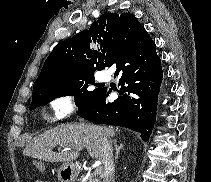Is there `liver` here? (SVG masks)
I'll return each mask as SVG.
<instances>
[{
	"label": "liver",
	"mask_w": 211,
	"mask_h": 182,
	"mask_svg": "<svg viewBox=\"0 0 211 182\" xmlns=\"http://www.w3.org/2000/svg\"><path fill=\"white\" fill-rule=\"evenodd\" d=\"M115 135L114 129L90 124H65L50 129L35 137L24 149L23 154L48 162L71 163L79 156L78 151L53 152L57 145L62 148L84 146L89 155L102 161L103 138L109 140Z\"/></svg>",
	"instance_id": "liver-1"
}]
</instances>
